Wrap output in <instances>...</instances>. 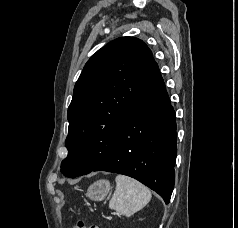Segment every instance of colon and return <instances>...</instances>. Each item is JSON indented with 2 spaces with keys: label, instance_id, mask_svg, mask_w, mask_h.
Segmentation results:
<instances>
[{
  "label": "colon",
  "instance_id": "1",
  "mask_svg": "<svg viewBox=\"0 0 238 228\" xmlns=\"http://www.w3.org/2000/svg\"><path fill=\"white\" fill-rule=\"evenodd\" d=\"M75 228H100V227L94 224H87L84 221L80 220L77 222Z\"/></svg>",
  "mask_w": 238,
  "mask_h": 228
}]
</instances>
